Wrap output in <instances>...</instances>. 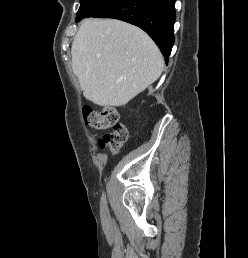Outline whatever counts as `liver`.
I'll list each match as a JSON object with an SVG mask.
<instances>
[{
  "label": "liver",
  "instance_id": "6515ba94",
  "mask_svg": "<svg viewBox=\"0 0 248 258\" xmlns=\"http://www.w3.org/2000/svg\"><path fill=\"white\" fill-rule=\"evenodd\" d=\"M71 53L85 97L100 106L127 104L160 77L164 65L144 31L115 19H85Z\"/></svg>",
  "mask_w": 248,
  "mask_h": 258
}]
</instances>
